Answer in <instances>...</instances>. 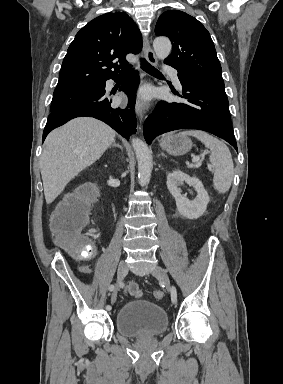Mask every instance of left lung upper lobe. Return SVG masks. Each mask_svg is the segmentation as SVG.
Segmentation results:
<instances>
[{
  "instance_id": "obj_1",
  "label": "left lung upper lobe",
  "mask_w": 283,
  "mask_h": 384,
  "mask_svg": "<svg viewBox=\"0 0 283 384\" xmlns=\"http://www.w3.org/2000/svg\"><path fill=\"white\" fill-rule=\"evenodd\" d=\"M155 33L171 40L172 53L164 62L177 69L179 75L224 84L213 41L197 19L180 10H169L159 17Z\"/></svg>"
}]
</instances>
